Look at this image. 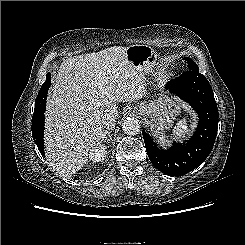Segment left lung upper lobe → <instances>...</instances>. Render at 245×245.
<instances>
[{
	"label": "left lung upper lobe",
	"mask_w": 245,
	"mask_h": 245,
	"mask_svg": "<svg viewBox=\"0 0 245 245\" xmlns=\"http://www.w3.org/2000/svg\"><path fill=\"white\" fill-rule=\"evenodd\" d=\"M183 59L185 60V62L188 63V65H187L188 66V70H198L197 64H195V62L191 58L185 57Z\"/></svg>",
	"instance_id": "left-lung-upper-lobe-1"
}]
</instances>
